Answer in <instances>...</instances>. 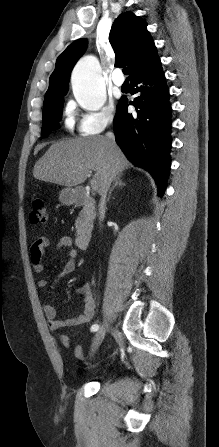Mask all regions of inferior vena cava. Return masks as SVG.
<instances>
[{"label": "inferior vena cava", "mask_w": 219, "mask_h": 447, "mask_svg": "<svg viewBox=\"0 0 219 447\" xmlns=\"http://www.w3.org/2000/svg\"><path fill=\"white\" fill-rule=\"evenodd\" d=\"M106 137L108 138V140L112 143H115V138H114V134L111 132H108L106 134ZM116 178V172L115 170H112L106 177L105 181H104V185L101 189L100 195H101V200H100V205L104 207L105 202H106V196H107V192L108 189L110 187L111 182ZM101 221V219H100Z\"/></svg>", "instance_id": "obj_1"}]
</instances>
